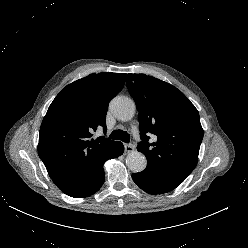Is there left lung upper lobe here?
Masks as SVG:
<instances>
[{"label":"left lung upper lobe","mask_w":248,"mask_h":248,"mask_svg":"<svg viewBox=\"0 0 248 248\" xmlns=\"http://www.w3.org/2000/svg\"><path fill=\"white\" fill-rule=\"evenodd\" d=\"M127 88L139 112L145 171L177 187L193 171L203 139L199 113L176 87L145 74H128ZM156 135L149 143L148 135Z\"/></svg>","instance_id":"obj_1"}]
</instances>
